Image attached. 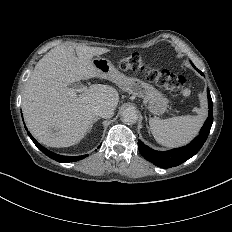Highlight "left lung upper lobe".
Listing matches in <instances>:
<instances>
[{
  "instance_id": "left-lung-upper-lobe-1",
  "label": "left lung upper lobe",
  "mask_w": 232,
  "mask_h": 232,
  "mask_svg": "<svg viewBox=\"0 0 232 232\" xmlns=\"http://www.w3.org/2000/svg\"><path fill=\"white\" fill-rule=\"evenodd\" d=\"M191 64L193 65V63L191 62ZM193 67L197 70V68L193 65Z\"/></svg>"
}]
</instances>
